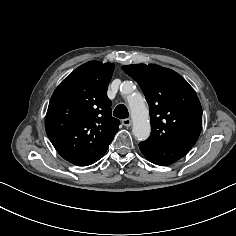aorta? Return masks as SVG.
I'll return each instance as SVG.
<instances>
[{"label":"aorta","instance_id":"obj_1","mask_svg":"<svg viewBox=\"0 0 236 236\" xmlns=\"http://www.w3.org/2000/svg\"><path fill=\"white\" fill-rule=\"evenodd\" d=\"M133 86L132 82L127 81L122 85L121 90L128 94L132 92ZM128 102L133 121L132 133L138 141H144L149 137L151 131L148 109L139 94L133 98L130 97Z\"/></svg>","mask_w":236,"mask_h":236}]
</instances>
